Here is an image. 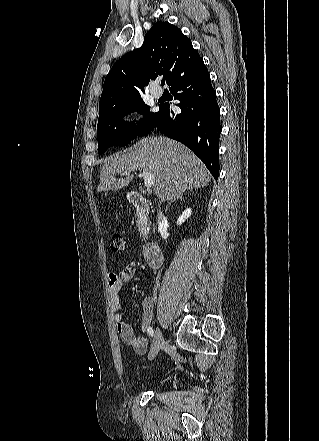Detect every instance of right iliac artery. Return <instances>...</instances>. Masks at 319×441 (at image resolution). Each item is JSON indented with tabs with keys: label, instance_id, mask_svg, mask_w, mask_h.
I'll use <instances>...</instances> for the list:
<instances>
[{
	"label": "right iliac artery",
	"instance_id": "right-iliac-artery-1",
	"mask_svg": "<svg viewBox=\"0 0 319 441\" xmlns=\"http://www.w3.org/2000/svg\"><path fill=\"white\" fill-rule=\"evenodd\" d=\"M148 333H149V335L151 336V337H153V335H154V331H153V329H152V327H148Z\"/></svg>",
	"mask_w": 319,
	"mask_h": 441
}]
</instances>
